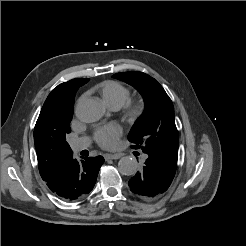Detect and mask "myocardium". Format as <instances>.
Instances as JSON below:
<instances>
[{"mask_svg":"<svg viewBox=\"0 0 246 246\" xmlns=\"http://www.w3.org/2000/svg\"><path fill=\"white\" fill-rule=\"evenodd\" d=\"M146 110L145 102L142 100H130L123 106L124 116L131 120L136 121L141 118Z\"/></svg>","mask_w":246,"mask_h":246,"instance_id":"f54148a6","label":"myocardium"}]
</instances>
